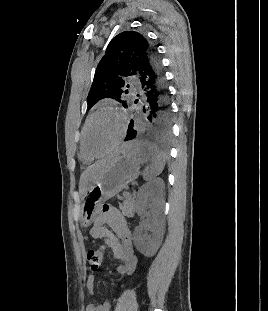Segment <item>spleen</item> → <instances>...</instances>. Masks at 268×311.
Returning a JSON list of instances; mask_svg holds the SVG:
<instances>
[{"label": "spleen", "mask_w": 268, "mask_h": 311, "mask_svg": "<svg viewBox=\"0 0 268 311\" xmlns=\"http://www.w3.org/2000/svg\"><path fill=\"white\" fill-rule=\"evenodd\" d=\"M127 147H142V140H127ZM140 163L143 164L150 161L151 164L145 169L143 177L145 180L150 181L158 176L164 169L165 158L163 154L155 147L148 145L147 153L143 158L139 159Z\"/></svg>", "instance_id": "spleen-1"}]
</instances>
